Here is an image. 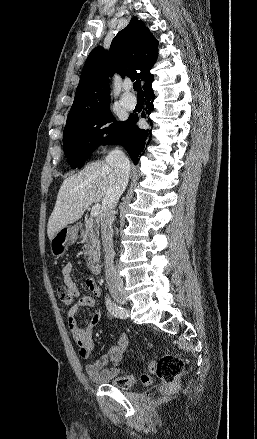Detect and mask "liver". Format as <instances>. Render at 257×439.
I'll use <instances>...</instances> for the list:
<instances>
[{"label":"liver","mask_w":257,"mask_h":439,"mask_svg":"<svg viewBox=\"0 0 257 439\" xmlns=\"http://www.w3.org/2000/svg\"><path fill=\"white\" fill-rule=\"evenodd\" d=\"M111 174L112 168L107 162L97 161L64 179L48 220L47 235L50 240L61 228L79 220L92 203L104 199Z\"/></svg>","instance_id":"1"}]
</instances>
